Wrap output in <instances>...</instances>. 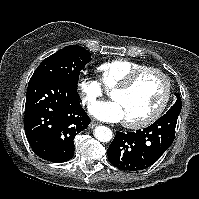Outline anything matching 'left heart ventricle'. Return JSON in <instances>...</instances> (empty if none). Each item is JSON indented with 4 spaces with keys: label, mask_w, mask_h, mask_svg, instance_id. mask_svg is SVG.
Instances as JSON below:
<instances>
[{
    "label": "left heart ventricle",
    "mask_w": 199,
    "mask_h": 199,
    "mask_svg": "<svg viewBox=\"0 0 199 199\" xmlns=\"http://www.w3.org/2000/svg\"><path fill=\"white\" fill-rule=\"evenodd\" d=\"M164 92V80L155 73H147L130 90L114 91L111 96L121 105L124 120L136 121L154 111Z\"/></svg>",
    "instance_id": "left-heart-ventricle-1"
}]
</instances>
